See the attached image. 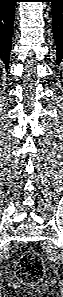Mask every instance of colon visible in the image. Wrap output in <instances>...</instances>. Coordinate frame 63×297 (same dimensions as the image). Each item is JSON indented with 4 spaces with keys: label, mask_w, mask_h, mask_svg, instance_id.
<instances>
[{
    "label": "colon",
    "mask_w": 63,
    "mask_h": 297,
    "mask_svg": "<svg viewBox=\"0 0 63 297\" xmlns=\"http://www.w3.org/2000/svg\"><path fill=\"white\" fill-rule=\"evenodd\" d=\"M43 270V262L39 256L29 252L19 260L16 272L20 278L34 281L42 276Z\"/></svg>",
    "instance_id": "5ec220e1"
}]
</instances>
